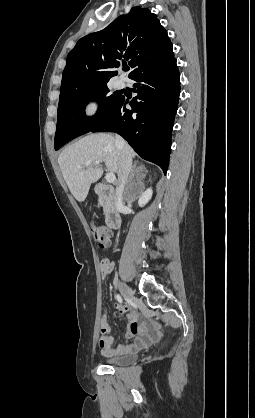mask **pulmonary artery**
Wrapping results in <instances>:
<instances>
[{
  "mask_svg": "<svg viewBox=\"0 0 255 418\" xmlns=\"http://www.w3.org/2000/svg\"><path fill=\"white\" fill-rule=\"evenodd\" d=\"M125 84H126V82H125V79H123V78L118 79V81L116 82V85H117L118 88H123L125 86Z\"/></svg>",
  "mask_w": 255,
  "mask_h": 418,
  "instance_id": "1",
  "label": "pulmonary artery"
}]
</instances>
